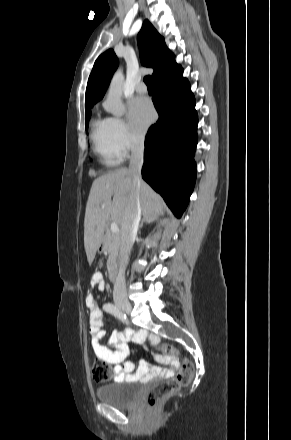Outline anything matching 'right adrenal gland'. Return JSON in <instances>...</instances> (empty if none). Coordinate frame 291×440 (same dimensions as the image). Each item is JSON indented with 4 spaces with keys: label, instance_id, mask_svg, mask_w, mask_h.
I'll return each instance as SVG.
<instances>
[{
    "label": "right adrenal gland",
    "instance_id": "right-adrenal-gland-1",
    "mask_svg": "<svg viewBox=\"0 0 291 440\" xmlns=\"http://www.w3.org/2000/svg\"><path fill=\"white\" fill-rule=\"evenodd\" d=\"M157 219H158V215H156V216H143L141 223L139 225V229L142 228L144 223H153Z\"/></svg>",
    "mask_w": 291,
    "mask_h": 440
}]
</instances>
